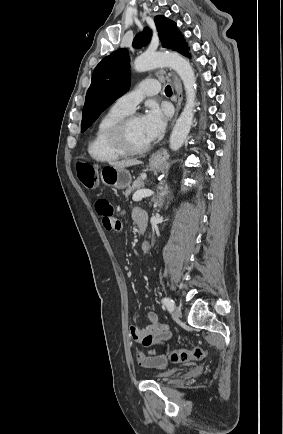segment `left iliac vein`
<instances>
[{
	"label": "left iliac vein",
	"instance_id": "1",
	"mask_svg": "<svg viewBox=\"0 0 283 434\" xmlns=\"http://www.w3.org/2000/svg\"><path fill=\"white\" fill-rule=\"evenodd\" d=\"M180 316H181V308L178 306L174 307V309L172 310L173 319L177 320L180 318Z\"/></svg>",
	"mask_w": 283,
	"mask_h": 434
}]
</instances>
